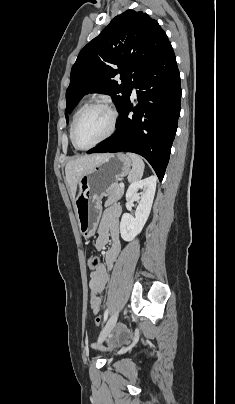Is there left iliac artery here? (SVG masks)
Instances as JSON below:
<instances>
[{"instance_id":"obj_1","label":"left iliac artery","mask_w":235,"mask_h":404,"mask_svg":"<svg viewBox=\"0 0 235 404\" xmlns=\"http://www.w3.org/2000/svg\"><path fill=\"white\" fill-rule=\"evenodd\" d=\"M107 318H108V309L105 310V313H104V322L107 320Z\"/></svg>"}]
</instances>
